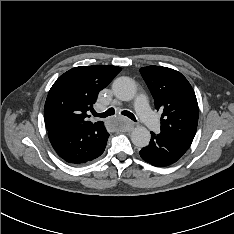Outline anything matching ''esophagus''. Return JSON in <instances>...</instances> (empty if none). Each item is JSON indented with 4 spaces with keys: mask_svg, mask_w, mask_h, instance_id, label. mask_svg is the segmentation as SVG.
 I'll list each match as a JSON object with an SVG mask.
<instances>
[{
    "mask_svg": "<svg viewBox=\"0 0 234 234\" xmlns=\"http://www.w3.org/2000/svg\"><path fill=\"white\" fill-rule=\"evenodd\" d=\"M133 127H134V124H133L132 122H129V123L124 127V129H125L126 131H131V130L133 129Z\"/></svg>",
    "mask_w": 234,
    "mask_h": 234,
    "instance_id": "34e87169",
    "label": "esophagus"
}]
</instances>
